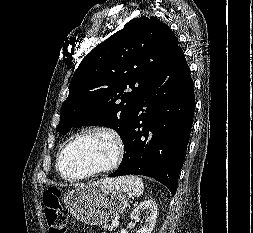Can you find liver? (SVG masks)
I'll return each mask as SVG.
<instances>
[{"mask_svg": "<svg viewBox=\"0 0 253 233\" xmlns=\"http://www.w3.org/2000/svg\"><path fill=\"white\" fill-rule=\"evenodd\" d=\"M96 183L103 184V185H105L107 187V185L110 184V181L109 180H104V181H98Z\"/></svg>", "mask_w": 253, "mask_h": 233, "instance_id": "liver-1", "label": "liver"}]
</instances>
